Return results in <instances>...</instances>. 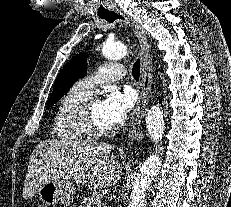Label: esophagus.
Wrapping results in <instances>:
<instances>
[{
  "label": "esophagus",
  "mask_w": 231,
  "mask_h": 207,
  "mask_svg": "<svg viewBox=\"0 0 231 207\" xmlns=\"http://www.w3.org/2000/svg\"><path fill=\"white\" fill-rule=\"evenodd\" d=\"M118 14L124 17L133 27V30L139 40L140 44V56H141V83H140V99L134 110L128 135L127 146L131 147L134 141L138 138L141 131V123L144 117V109L146 105V98L149 90L152 86V57L149 52V44L145 31L141 26L134 21L130 16L124 14L122 11H118Z\"/></svg>",
  "instance_id": "34e87169"
}]
</instances>
